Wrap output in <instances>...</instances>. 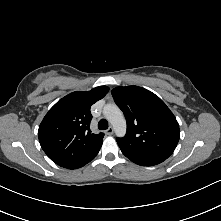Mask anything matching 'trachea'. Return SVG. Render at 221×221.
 Instances as JSON below:
<instances>
[{
  "label": "trachea",
  "instance_id": "3493384b",
  "mask_svg": "<svg viewBox=\"0 0 221 221\" xmlns=\"http://www.w3.org/2000/svg\"><path fill=\"white\" fill-rule=\"evenodd\" d=\"M98 128H99L100 130H105V129H107V128H108V122H107V120L101 119V120L98 122Z\"/></svg>",
  "mask_w": 221,
  "mask_h": 221
}]
</instances>
